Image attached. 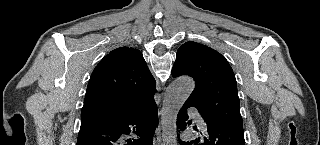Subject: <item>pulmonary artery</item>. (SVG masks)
Returning a JSON list of instances; mask_svg holds the SVG:
<instances>
[{"label": "pulmonary artery", "mask_w": 320, "mask_h": 145, "mask_svg": "<svg viewBox=\"0 0 320 145\" xmlns=\"http://www.w3.org/2000/svg\"><path fill=\"white\" fill-rule=\"evenodd\" d=\"M188 112L191 114V116L195 119V121L197 122V124L205 129L206 128V123L204 121V119L202 118V116L197 112V110L195 108H190L188 110Z\"/></svg>", "instance_id": "pulmonary-artery-1"}]
</instances>
